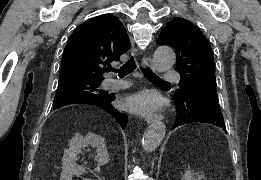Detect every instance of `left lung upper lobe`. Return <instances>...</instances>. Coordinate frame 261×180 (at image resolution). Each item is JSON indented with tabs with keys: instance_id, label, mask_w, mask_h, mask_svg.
Instances as JSON below:
<instances>
[{
	"instance_id": "5c2ea615",
	"label": "left lung upper lobe",
	"mask_w": 261,
	"mask_h": 180,
	"mask_svg": "<svg viewBox=\"0 0 261 180\" xmlns=\"http://www.w3.org/2000/svg\"><path fill=\"white\" fill-rule=\"evenodd\" d=\"M157 44L171 46L177 56L175 70L181 80L174 97L183 95L185 87H191L205 97L218 100L212 49L194 24L183 18L171 20L159 35Z\"/></svg>"
}]
</instances>
